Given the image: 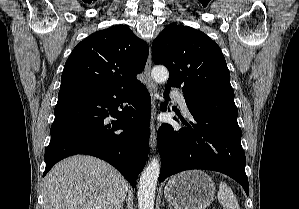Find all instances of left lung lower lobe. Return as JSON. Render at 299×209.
Instances as JSON below:
<instances>
[{"instance_id": "1", "label": "left lung lower lobe", "mask_w": 299, "mask_h": 209, "mask_svg": "<svg viewBox=\"0 0 299 209\" xmlns=\"http://www.w3.org/2000/svg\"><path fill=\"white\" fill-rule=\"evenodd\" d=\"M169 91L170 87L166 86L165 96ZM184 98L194 123H185L189 128L181 129L162 124L158 130L157 145L162 164L159 182L184 170H213L235 179L248 195L246 158L234 97L184 94ZM161 110H166V104L161 105Z\"/></svg>"}]
</instances>
